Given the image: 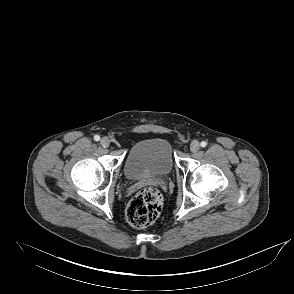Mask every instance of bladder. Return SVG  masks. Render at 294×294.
Listing matches in <instances>:
<instances>
[{
    "label": "bladder",
    "instance_id": "31cf9c89",
    "mask_svg": "<svg viewBox=\"0 0 294 294\" xmlns=\"http://www.w3.org/2000/svg\"><path fill=\"white\" fill-rule=\"evenodd\" d=\"M175 166L172 144L164 138H149L129 150L124 172L128 179L142 180L169 174Z\"/></svg>",
    "mask_w": 294,
    "mask_h": 294
}]
</instances>
